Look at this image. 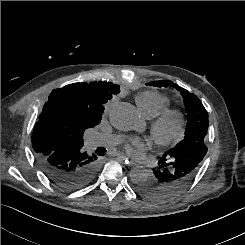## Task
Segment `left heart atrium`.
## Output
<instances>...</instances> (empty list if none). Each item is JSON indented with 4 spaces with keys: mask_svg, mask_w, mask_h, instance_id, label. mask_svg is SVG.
I'll return each mask as SVG.
<instances>
[{
    "mask_svg": "<svg viewBox=\"0 0 245 245\" xmlns=\"http://www.w3.org/2000/svg\"><path fill=\"white\" fill-rule=\"evenodd\" d=\"M125 149L130 155L138 156L142 151L147 149V144L143 139L134 137L126 142Z\"/></svg>",
    "mask_w": 245,
    "mask_h": 245,
    "instance_id": "1",
    "label": "left heart atrium"
}]
</instances>
